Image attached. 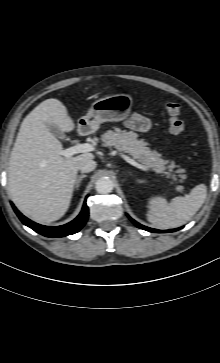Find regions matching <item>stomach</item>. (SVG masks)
I'll list each match as a JSON object with an SVG mask.
<instances>
[{
	"mask_svg": "<svg viewBox=\"0 0 220 363\" xmlns=\"http://www.w3.org/2000/svg\"><path fill=\"white\" fill-rule=\"evenodd\" d=\"M133 96L119 93L95 101L85 116L78 119L79 129L96 131L106 121L125 120L133 106Z\"/></svg>",
	"mask_w": 220,
	"mask_h": 363,
	"instance_id": "1",
	"label": "stomach"
}]
</instances>
